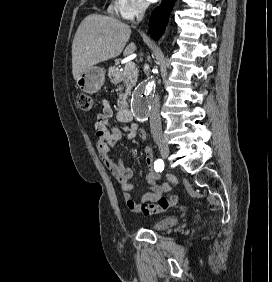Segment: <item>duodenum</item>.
<instances>
[{
  "label": "duodenum",
  "instance_id": "obj_1",
  "mask_svg": "<svg viewBox=\"0 0 272 282\" xmlns=\"http://www.w3.org/2000/svg\"><path fill=\"white\" fill-rule=\"evenodd\" d=\"M120 116L123 120H129L132 117V113L128 108V101L124 100L120 105Z\"/></svg>",
  "mask_w": 272,
  "mask_h": 282
}]
</instances>
